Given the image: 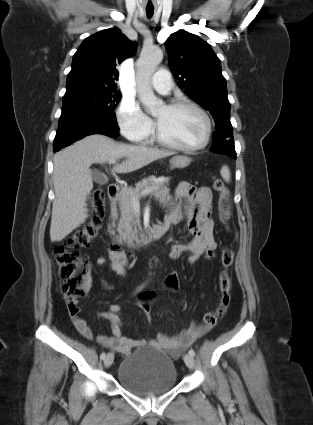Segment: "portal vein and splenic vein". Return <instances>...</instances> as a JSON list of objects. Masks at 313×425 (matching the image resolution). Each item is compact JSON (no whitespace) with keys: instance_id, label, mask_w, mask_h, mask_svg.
I'll use <instances>...</instances> for the list:
<instances>
[{"instance_id":"portal-vein-and-splenic-vein-1","label":"portal vein and splenic vein","mask_w":313,"mask_h":425,"mask_svg":"<svg viewBox=\"0 0 313 425\" xmlns=\"http://www.w3.org/2000/svg\"><path fill=\"white\" fill-rule=\"evenodd\" d=\"M109 164H115L116 163V160H110L109 162H108ZM151 190L149 189V190H147L144 194H146V193H148V192H150ZM133 206L136 208V209H139V203H138V200L137 199H134V201H133Z\"/></svg>"}]
</instances>
